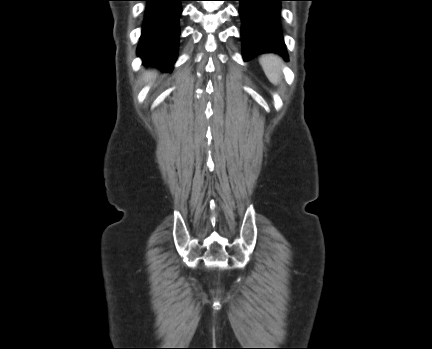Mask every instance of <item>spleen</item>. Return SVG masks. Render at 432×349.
<instances>
[{
    "label": "spleen",
    "mask_w": 432,
    "mask_h": 349,
    "mask_svg": "<svg viewBox=\"0 0 432 349\" xmlns=\"http://www.w3.org/2000/svg\"><path fill=\"white\" fill-rule=\"evenodd\" d=\"M259 63L268 80L273 85H278L281 81V67L283 64L282 59L275 54H265L259 59Z\"/></svg>",
    "instance_id": "obj_1"
}]
</instances>
